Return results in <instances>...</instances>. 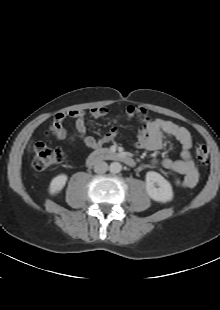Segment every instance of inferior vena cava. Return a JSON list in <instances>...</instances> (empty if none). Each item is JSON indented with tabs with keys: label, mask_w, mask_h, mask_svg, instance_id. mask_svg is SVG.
<instances>
[{
	"label": "inferior vena cava",
	"mask_w": 220,
	"mask_h": 310,
	"mask_svg": "<svg viewBox=\"0 0 220 310\" xmlns=\"http://www.w3.org/2000/svg\"><path fill=\"white\" fill-rule=\"evenodd\" d=\"M108 170V164L104 161H99L94 165V172L97 174H103Z\"/></svg>",
	"instance_id": "602c4592"
}]
</instances>
